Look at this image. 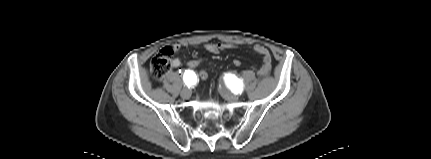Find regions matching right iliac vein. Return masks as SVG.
Returning <instances> with one entry per match:
<instances>
[{
  "label": "right iliac vein",
  "mask_w": 431,
  "mask_h": 159,
  "mask_svg": "<svg viewBox=\"0 0 431 159\" xmlns=\"http://www.w3.org/2000/svg\"><path fill=\"white\" fill-rule=\"evenodd\" d=\"M181 97L182 98H184V99H188L190 96H191V91H190V89L189 88H187V87H184L182 90H181Z\"/></svg>",
  "instance_id": "right-iliac-vein-1"
}]
</instances>
